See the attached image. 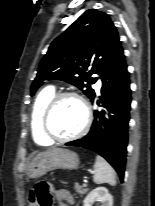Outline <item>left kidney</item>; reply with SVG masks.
I'll list each match as a JSON object with an SVG mask.
<instances>
[{
	"instance_id": "left-kidney-1",
	"label": "left kidney",
	"mask_w": 155,
	"mask_h": 206,
	"mask_svg": "<svg viewBox=\"0 0 155 206\" xmlns=\"http://www.w3.org/2000/svg\"><path fill=\"white\" fill-rule=\"evenodd\" d=\"M94 201H99L101 206H112L113 197L105 187L93 189L83 201V206H92Z\"/></svg>"
}]
</instances>
